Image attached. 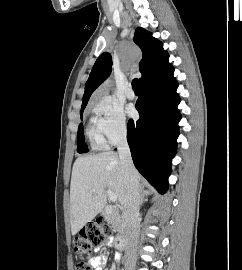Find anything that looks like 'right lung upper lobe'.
Here are the masks:
<instances>
[{
  "label": "right lung upper lobe",
  "mask_w": 242,
  "mask_h": 270,
  "mask_svg": "<svg viewBox=\"0 0 242 270\" xmlns=\"http://www.w3.org/2000/svg\"><path fill=\"white\" fill-rule=\"evenodd\" d=\"M133 40L143 53V58L139 63V70L142 73L140 82L142 84L168 61L169 56L163 49V44L141 27L136 29ZM111 66L112 59L109 53H102L97 58L85 85L81 108H85L93 91L110 75Z\"/></svg>",
  "instance_id": "1"
}]
</instances>
